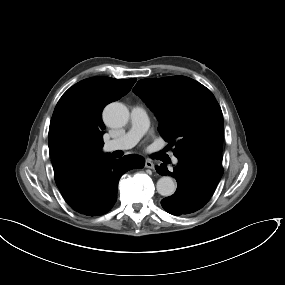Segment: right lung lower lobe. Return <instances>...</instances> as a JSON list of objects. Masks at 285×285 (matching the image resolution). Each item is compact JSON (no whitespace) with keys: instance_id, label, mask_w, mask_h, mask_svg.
Segmentation results:
<instances>
[{"instance_id":"98d812e1","label":"right lung lower lobe","mask_w":285,"mask_h":285,"mask_svg":"<svg viewBox=\"0 0 285 285\" xmlns=\"http://www.w3.org/2000/svg\"><path fill=\"white\" fill-rule=\"evenodd\" d=\"M144 165L145 159L138 155H126L118 160L108 155L92 162L59 190L77 213L100 216L115 204L120 177Z\"/></svg>"}]
</instances>
